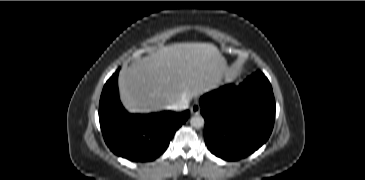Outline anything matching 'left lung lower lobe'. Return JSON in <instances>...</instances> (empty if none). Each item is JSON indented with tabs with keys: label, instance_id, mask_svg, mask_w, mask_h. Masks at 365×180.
Here are the masks:
<instances>
[{
	"label": "left lung lower lobe",
	"instance_id": "1",
	"mask_svg": "<svg viewBox=\"0 0 365 180\" xmlns=\"http://www.w3.org/2000/svg\"><path fill=\"white\" fill-rule=\"evenodd\" d=\"M208 149L224 160H239L269 138L275 120L271 84L257 71L239 86L225 85L200 99Z\"/></svg>",
	"mask_w": 365,
	"mask_h": 180
}]
</instances>
